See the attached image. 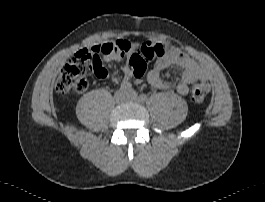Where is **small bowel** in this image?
I'll list each match as a JSON object with an SVG mask.
<instances>
[{"label":"small bowel","mask_w":265,"mask_h":202,"mask_svg":"<svg viewBox=\"0 0 265 202\" xmlns=\"http://www.w3.org/2000/svg\"><path fill=\"white\" fill-rule=\"evenodd\" d=\"M119 43H128L131 52L142 46L140 43H133L127 40H121L117 44ZM120 59L121 54L117 51L102 53V60L104 62H114ZM170 68H179L181 70L180 81L176 85V90L182 95L189 93V84H191L194 79L206 78L205 72L194 59L176 48L166 47L165 55L153 64L147 75L149 84L160 90L170 89L172 86L171 83L164 80L162 77L163 73ZM123 72L125 75L123 82H129L132 74L131 66L128 62L123 65Z\"/></svg>","instance_id":"obj_1"}]
</instances>
